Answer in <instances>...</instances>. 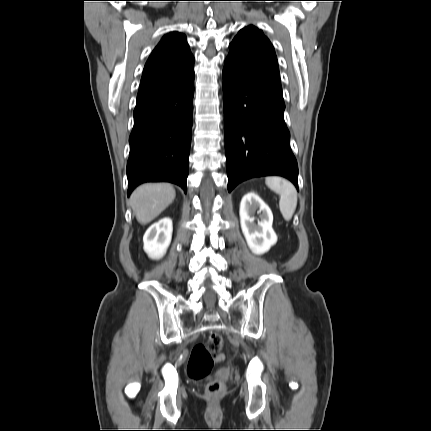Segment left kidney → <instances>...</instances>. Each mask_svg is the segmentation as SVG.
<instances>
[{"label": "left kidney", "instance_id": "left-kidney-1", "mask_svg": "<svg viewBox=\"0 0 431 431\" xmlns=\"http://www.w3.org/2000/svg\"><path fill=\"white\" fill-rule=\"evenodd\" d=\"M256 211L260 214L257 223L254 217ZM239 214L241 229L250 249L256 254L267 252L277 242L270 208L257 194L250 192L243 196Z\"/></svg>", "mask_w": 431, "mask_h": 431}]
</instances>
